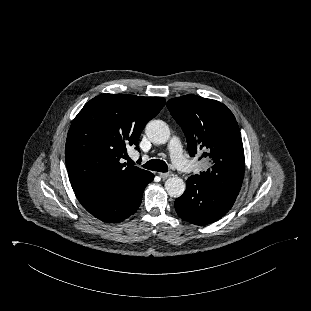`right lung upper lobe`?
I'll return each instance as SVG.
<instances>
[{"mask_svg": "<svg viewBox=\"0 0 311 311\" xmlns=\"http://www.w3.org/2000/svg\"><path fill=\"white\" fill-rule=\"evenodd\" d=\"M165 105L162 97L102 94L91 99L73 120L65 160L73 190L101 188L130 192L152 174L126 166L129 147L138 148L142 130Z\"/></svg>", "mask_w": 311, "mask_h": 311, "instance_id": "cb5924a9", "label": "right lung upper lobe"}]
</instances>
